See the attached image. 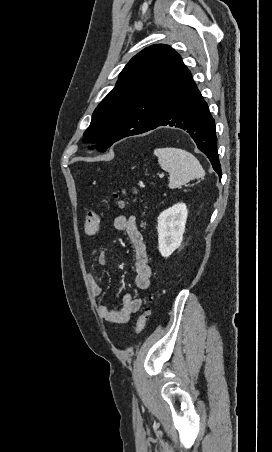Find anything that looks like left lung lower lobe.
<instances>
[{
    "instance_id": "obj_1",
    "label": "left lung lower lobe",
    "mask_w": 272,
    "mask_h": 452,
    "mask_svg": "<svg viewBox=\"0 0 272 452\" xmlns=\"http://www.w3.org/2000/svg\"><path fill=\"white\" fill-rule=\"evenodd\" d=\"M159 126H171L185 130L195 141L198 149L210 160L219 177L222 176L217 153L215 122L191 73L175 90L163 106L158 119L141 134Z\"/></svg>"
}]
</instances>
